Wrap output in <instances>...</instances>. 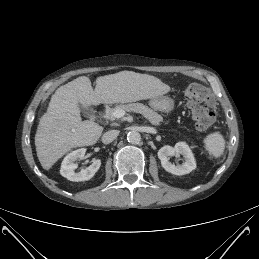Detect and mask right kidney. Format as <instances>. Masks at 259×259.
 <instances>
[{"label": "right kidney", "instance_id": "1", "mask_svg": "<svg viewBox=\"0 0 259 259\" xmlns=\"http://www.w3.org/2000/svg\"><path fill=\"white\" fill-rule=\"evenodd\" d=\"M86 153L85 148L77 149L72 151L62 161L60 174L70 181L79 182L90 180L95 173L99 170L101 166V161L96 159L93 163L86 169H82L80 172L76 173L74 170L77 169L78 164L75 163L78 159H83Z\"/></svg>", "mask_w": 259, "mask_h": 259}]
</instances>
